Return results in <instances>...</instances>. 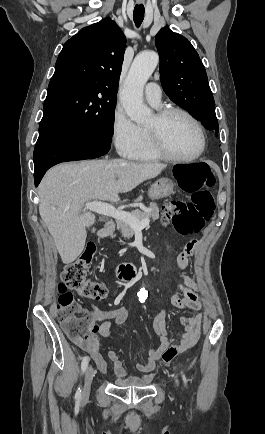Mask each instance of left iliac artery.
I'll list each match as a JSON object with an SVG mask.
<instances>
[{
  "label": "left iliac artery",
  "instance_id": "obj_1",
  "mask_svg": "<svg viewBox=\"0 0 265 434\" xmlns=\"http://www.w3.org/2000/svg\"><path fill=\"white\" fill-rule=\"evenodd\" d=\"M182 378H183V381H184V383H185V385H186V383H187V380H186V377H185V375L182 373Z\"/></svg>",
  "mask_w": 265,
  "mask_h": 434
}]
</instances>
